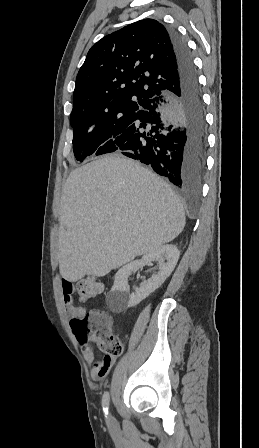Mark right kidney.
Returning a JSON list of instances; mask_svg holds the SVG:
<instances>
[{"label":"right kidney","mask_w":259,"mask_h":448,"mask_svg":"<svg viewBox=\"0 0 259 448\" xmlns=\"http://www.w3.org/2000/svg\"><path fill=\"white\" fill-rule=\"evenodd\" d=\"M179 250L176 246L172 244H165V246H160L156 248L153 252L145 254L141 260H135V262H130L126 266H122L118 270L114 286L106 296V304L110 308L111 312L119 314V312H125L127 308H133L140 304L142 300H145L149 294L155 292L159 286H162L166 278L172 274L178 260H179ZM167 260V262H165ZM149 262H159V272L153 274L150 280H143L140 284V288H136L133 294H129L128 278L137 272L139 268H143Z\"/></svg>","instance_id":"right-kidney-1"}]
</instances>
